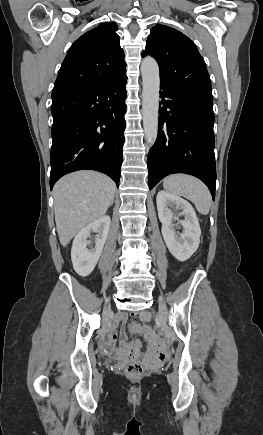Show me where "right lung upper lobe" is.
<instances>
[{
  "label": "right lung upper lobe",
  "instance_id": "cb5924a9",
  "mask_svg": "<svg viewBox=\"0 0 263 435\" xmlns=\"http://www.w3.org/2000/svg\"><path fill=\"white\" fill-rule=\"evenodd\" d=\"M116 23H102L70 47L59 70L52 97L79 91L126 72Z\"/></svg>",
  "mask_w": 263,
  "mask_h": 435
}]
</instances>
